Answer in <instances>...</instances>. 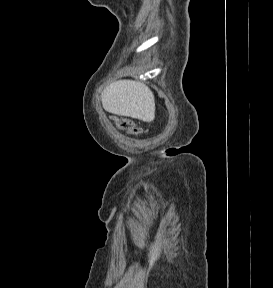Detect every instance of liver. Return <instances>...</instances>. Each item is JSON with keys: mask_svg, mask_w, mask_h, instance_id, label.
Returning <instances> with one entry per match:
<instances>
[{"mask_svg": "<svg viewBox=\"0 0 273 288\" xmlns=\"http://www.w3.org/2000/svg\"><path fill=\"white\" fill-rule=\"evenodd\" d=\"M103 108L112 114L152 122L155 118L153 92L145 84L119 80L108 85L101 94Z\"/></svg>", "mask_w": 273, "mask_h": 288, "instance_id": "liver-1", "label": "liver"}]
</instances>
